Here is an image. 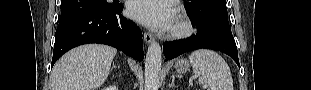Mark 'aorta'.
Listing matches in <instances>:
<instances>
[{
	"instance_id": "aorta-1",
	"label": "aorta",
	"mask_w": 311,
	"mask_h": 90,
	"mask_svg": "<svg viewBox=\"0 0 311 90\" xmlns=\"http://www.w3.org/2000/svg\"><path fill=\"white\" fill-rule=\"evenodd\" d=\"M162 64V49L157 42H152L145 59L144 90H158Z\"/></svg>"
}]
</instances>
